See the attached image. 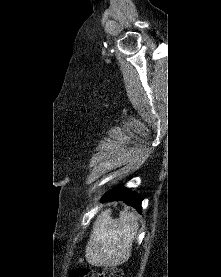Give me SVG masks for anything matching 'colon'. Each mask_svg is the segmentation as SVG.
<instances>
[{"label":"colon","mask_w":221,"mask_h":277,"mask_svg":"<svg viewBox=\"0 0 221 277\" xmlns=\"http://www.w3.org/2000/svg\"><path fill=\"white\" fill-rule=\"evenodd\" d=\"M70 277H123V273L118 267L106 268L101 272L87 267H79L71 272Z\"/></svg>","instance_id":"colon-1"}]
</instances>
